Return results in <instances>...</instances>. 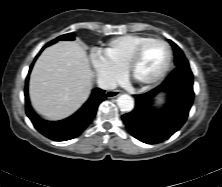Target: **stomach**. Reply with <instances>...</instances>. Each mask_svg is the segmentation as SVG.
Masks as SVG:
<instances>
[{
    "mask_svg": "<svg viewBox=\"0 0 222 187\" xmlns=\"http://www.w3.org/2000/svg\"><path fill=\"white\" fill-rule=\"evenodd\" d=\"M162 102H163V99L160 98V97H157V98H156V101H155V106L160 105Z\"/></svg>",
    "mask_w": 222,
    "mask_h": 187,
    "instance_id": "obj_1",
    "label": "stomach"
}]
</instances>
